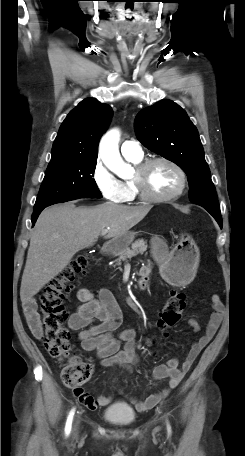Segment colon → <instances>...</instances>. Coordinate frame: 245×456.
Listing matches in <instances>:
<instances>
[{
	"mask_svg": "<svg viewBox=\"0 0 245 456\" xmlns=\"http://www.w3.org/2000/svg\"><path fill=\"white\" fill-rule=\"evenodd\" d=\"M89 255H79L73 259L68 267L53 278L40 294V312L44 327V342L50 356L63 360L69 358L61 373L63 383L70 388H79L84 385L92 374L90 363L70 355V333L65 327L68 313L64 302L73 290L79 279L87 272ZM186 306V297L183 293L172 291L165 303L155 326L162 336L180 319Z\"/></svg>",
	"mask_w": 245,
	"mask_h": 456,
	"instance_id": "colon-1",
	"label": "colon"
}]
</instances>
